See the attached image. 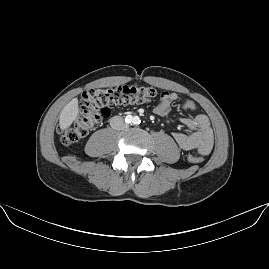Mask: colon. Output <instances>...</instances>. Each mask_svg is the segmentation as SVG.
<instances>
[{"mask_svg":"<svg viewBox=\"0 0 269 269\" xmlns=\"http://www.w3.org/2000/svg\"><path fill=\"white\" fill-rule=\"evenodd\" d=\"M156 95L155 88L137 84H120L106 88L87 87L82 92L83 106L74 124L61 132V140L65 144L76 143L99 125L109 108L148 102ZM185 159L197 163L204 160V155L187 154Z\"/></svg>","mask_w":269,"mask_h":269,"instance_id":"colon-1","label":"colon"}]
</instances>
